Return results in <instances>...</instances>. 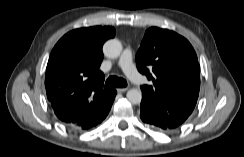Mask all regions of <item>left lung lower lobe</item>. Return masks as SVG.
I'll return each mask as SVG.
<instances>
[{
	"label": "left lung lower lobe",
	"mask_w": 244,
	"mask_h": 157,
	"mask_svg": "<svg viewBox=\"0 0 244 157\" xmlns=\"http://www.w3.org/2000/svg\"><path fill=\"white\" fill-rule=\"evenodd\" d=\"M140 118L144 123L148 124L156 131H171L175 129L168 125L157 113V111L145 101H141Z\"/></svg>",
	"instance_id": "left-lung-lower-lobe-1"
}]
</instances>
